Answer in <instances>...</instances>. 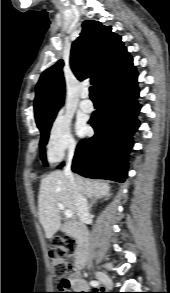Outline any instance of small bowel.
<instances>
[{
    "label": "small bowel",
    "instance_id": "obj_1",
    "mask_svg": "<svg viewBox=\"0 0 170 293\" xmlns=\"http://www.w3.org/2000/svg\"><path fill=\"white\" fill-rule=\"evenodd\" d=\"M72 278H73V281H74V285H73L74 289L83 290V289L86 288V285L84 284V282H83V280L81 279L80 276L75 274Z\"/></svg>",
    "mask_w": 170,
    "mask_h": 293
}]
</instances>
